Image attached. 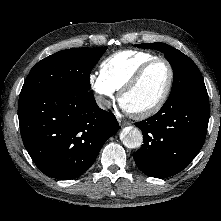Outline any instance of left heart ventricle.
Listing matches in <instances>:
<instances>
[{
  "label": "left heart ventricle",
  "mask_w": 221,
  "mask_h": 221,
  "mask_svg": "<svg viewBox=\"0 0 221 221\" xmlns=\"http://www.w3.org/2000/svg\"><path fill=\"white\" fill-rule=\"evenodd\" d=\"M169 70L162 62L152 65L138 84L122 98L121 104L128 111H138L152 106L163 94Z\"/></svg>",
  "instance_id": "b2bd125f"
}]
</instances>
